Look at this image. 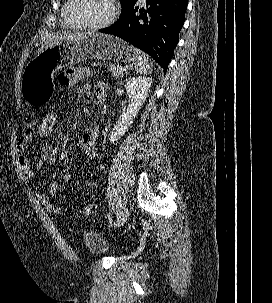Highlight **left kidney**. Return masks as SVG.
I'll list each match as a JSON object with an SVG mask.
<instances>
[{"label": "left kidney", "instance_id": "obj_1", "mask_svg": "<svg viewBox=\"0 0 272 303\" xmlns=\"http://www.w3.org/2000/svg\"><path fill=\"white\" fill-rule=\"evenodd\" d=\"M152 84V79L149 77H132L126 85V92L131 99L126 109L122 112L117 123L109 134V140L111 143L119 140L128 128L133 123V120L137 116L141 106L145 102L149 88Z\"/></svg>", "mask_w": 272, "mask_h": 303}]
</instances>
